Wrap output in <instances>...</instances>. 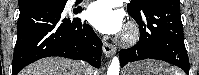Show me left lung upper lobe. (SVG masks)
<instances>
[{
    "instance_id": "obj_1",
    "label": "left lung upper lobe",
    "mask_w": 199,
    "mask_h": 75,
    "mask_svg": "<svg viewBox=\"0 0 199 75\" xmlns=\"http://www.w3.org/2000/svg\"><path fill=\"white\" fill-rule=\"evenodd\" d=\"M154 1L155 0H133L130 4L127 5V7L129 11L140 14L149 3Z\"/></svg>"
}]
</instances>
